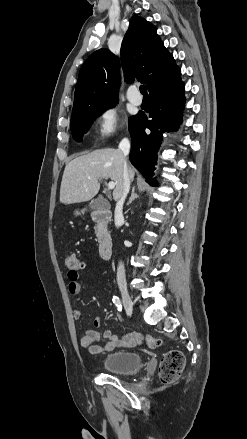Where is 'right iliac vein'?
<instances>
[{
	"instance_id": "right-iliac-vein-1",
	"label": "right iliac vein",
	"mask_w": 247,
	"mask_h": 439,
	"mask_svg": "<svg viewBox=\"0 0 247 439\" xmlns=\"http://www.w3.org/2000/svg\"><path fill=\"white\" fill-rule=\"evenodd\" d=\"M123 305L127 314L130 316L133 311V302L126 288H121Z\"/></svg>"
}]
</instances>
